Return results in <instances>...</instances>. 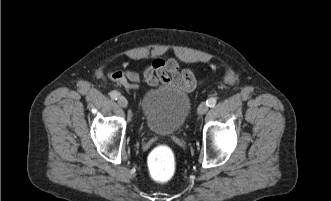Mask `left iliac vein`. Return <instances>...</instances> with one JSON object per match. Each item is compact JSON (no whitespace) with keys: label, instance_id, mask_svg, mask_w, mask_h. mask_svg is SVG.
Masks as SVG:
<instances>
[{"label":"left iliac vein","instance_id":"left-iliac-vein-1","mask_svg":"<svg viewBox=\"0 0 331 201\" xmlns=\"http://www.w3.org/2000/svg\"><path fill=\"white\" fill-rule=\"evenodd\" d=\"M208 111V106L204 102L201 103L198 107V114L204 115Z\"/></svg>","mask_w":331,"mask_h":201}]
</instances>
